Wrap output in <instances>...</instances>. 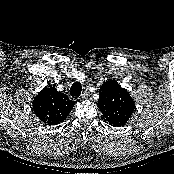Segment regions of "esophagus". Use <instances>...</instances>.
I'll return each mask as SVG.
<instances>
[{"instance_id": "esophagus-1", "label": "esophagus", "mask_w": 174, "mask_h": 174, "mask_svg": "<svg viewBox=\"0 0 174 174\" xmlns=\"http://www.w3.org/2000/svg\"><path fill=\"white\" fill-rule=\"evenodd\" d=\"M88 98V93L87 92H84L81 94V96L79 97L80 100H85Z\"/></svg>"}]
</instances>
